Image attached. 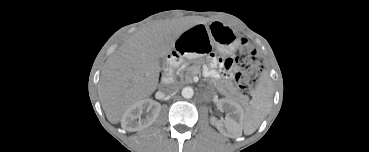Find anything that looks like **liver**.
I'll return each mask as SVG.
<instances>
[{
	"label": "liver",
	"mask_w": 369,
	"mask_h": 152,
	"mask_svg": "<svg viewBox=\"0 0 369 152\" xmlns=\"http://www.w3.org/2000/svg\"><path fill=\"white\" fill-rule=\"evenodd\" d=\"M187 28L175 19L152 23L129 37L107 59L98 94L112 124H117L133 104L154 93L161 71L159 59L170 53Z\"/></svg>",
	"instance_id": "1"
}]
</instances>
